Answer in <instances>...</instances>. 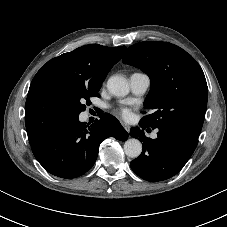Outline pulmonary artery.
Segmentation results:
<instances>
[{
    "label": "pulmonary artery",
    "mask_w": 227,
    "mask_h": 227,
    "mask_svg": "<svg viewBox=\"0 0 227 227\" xmlns=\"http://www.w3.org/2000/svg\"><path fill=\"white\" fill-rule=\"evenodd\" d=\"M131 91L135 95H143L150 86V78L142 72L132 73L129 78Z\"/></svg>",
    "instance_id": "obj_1"
}]
</instances>
